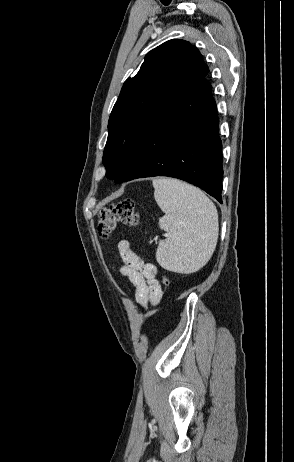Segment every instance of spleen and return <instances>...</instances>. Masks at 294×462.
I'll return each mask as SVG.
<instances>
[{
  "label": "spleen",
  "mask_w": 294,
  "mask_h": 462,
  "mask_svg": "<svg viewBox=\"0 0 294 462\" xmlns=\"http://www.w3.org/2000/svg\"><path fill=\"white\" fill-rule=\"evenodd\" d=\"M154 197L165 215L159 226L168 234L160 241L156 260L165 269L190 274L211 258L218 239L214 203L198 188L171 178L153 180Z\"/></svg>",
  "instance_id": "3e777b00"
}]
</instances>
